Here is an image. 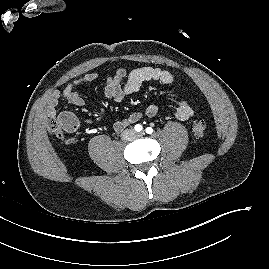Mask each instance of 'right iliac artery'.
Returning <instances> with one entry per match:
<instances>
[{
    "label": "right iliac artery",
    "mask_w": 269,
    "mask_h": 269,
    "mask_svg": "<svg viewBox=\"0 0 269 269\" xmlns=\"http://www.w3.org/2000/svg\"><path fill=\"white\" fill-rule=\"evenodd\" d=\"M134 128H135V131H137V132H140L143 129L142 125H140V124H136Z\"/></svg>",
    "instance_id": "1"
}]
</instances>
